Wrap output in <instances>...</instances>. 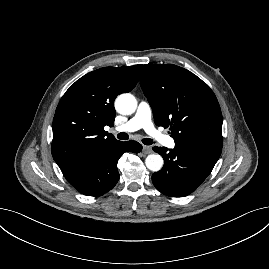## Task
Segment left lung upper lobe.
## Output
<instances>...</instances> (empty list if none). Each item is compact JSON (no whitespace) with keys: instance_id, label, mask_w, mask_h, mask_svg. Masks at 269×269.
I'll use <instances>...</instances> for the list:
<instances>
[{"instance_id":"1","label":"left lung upper lobe","mask_w":269,"mask_h":269,"mask_svg":"<svg viewBox=\"0 0 269 269\" xmlns=\"http://www.w3.org/2000/svg\"><path fill=\"white\" fill-rule=\"evenodd\" d=\"M140 84L155 123L170 127L175 144L197 143L222 148V113L210 87L176 65H143Z\"/></svg>"}]
</instances>
